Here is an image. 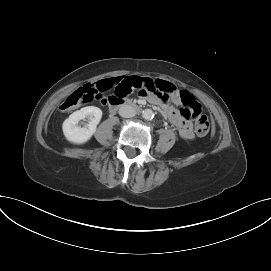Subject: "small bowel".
I'll list each match as a JSON object with an SVG mask.
<instances>
[{
  "mask_svg": "<svg viewBox=\"0 0 271 271\" xmlns=\"http://www.w3.org/2000/svg\"><path fill=\"white\" fill-rule=\"evenodd\" d=\"M97 91L98 99H103L101 92L113 88L114 100L123 102L132 91H138L139 98L147 99L151 105H160L170 122L175 125L182 138L194 137L191 124L186 121L180 112L171 104H179V91L173 83L157 79L156 76H117L106 78L93 84L86 85ZM159 86L165 89H159Z\"/></svg>",
  "mask_w": 271,
  "mask_h": 271,
  "instance_id": "1",
  "label": "small bowel"
}]
</instances>
